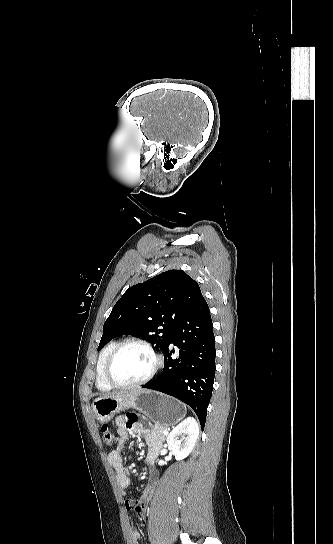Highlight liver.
Listing matches in <instances>:
<instances>
[{
    "mask_svg": "<svg viewBox=\"0 0 333 544\" xmlns=\"http://www.w3.org/2000/svg\"><path fill=\"white\" fill-rule=\"evenodd\" d=\"M139 390H133V391H127V392H115V393H111V394H107L105 395V397H116V396H121V395H127V394H132L134 392H137Z\"/></svg>",
    "mask_w": 333,
    "mask_h": 544,
    "instance_id": "6515ba94",
    "label": "liver"
}]
</instances>
